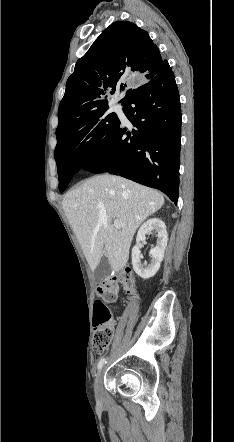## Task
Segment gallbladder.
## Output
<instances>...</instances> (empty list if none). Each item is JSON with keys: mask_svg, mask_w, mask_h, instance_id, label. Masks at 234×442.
Listing matches in <instances>:
<instances>
[{"mask_svg": "<svg viewBox=\"0 0 234 442\" xmlns=\"http://www.w3.org/2000/svg\"><path fill=\"white\" fill-rule=\"evenodd\" d=\"M111 271L108 259L104 256L98 266L95 269V280L96 282H102L106 277L109 276Z\"/></svg>", "mask_w": 234, "mask_h": 442, "instance_id": "bac80fb5", "label": "gallbladder"}]
</instances>
